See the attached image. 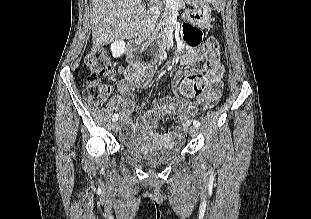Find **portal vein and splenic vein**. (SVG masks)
<instances>
[{"instance_id":"18ae733b","label":"portal vein and splenic vein","mask_w":311,"mask_h":219,"mask_svg":"<svg viewBox=\"0 0 311 219\" xmlns=\"http://www.w3.org/2000/svg\"><path fill=\"white\" fill-rule=\"evenodd\" d=\"M168 4L171 5L172 8L177 9L178 8V3L176 0H165Z\"/></svg>"}]
</instances>
